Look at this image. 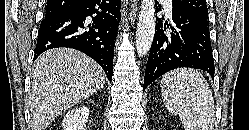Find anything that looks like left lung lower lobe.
I'll return each mask as SVG.
<instances>
[{
  "instance_id": "left-lung-lower-lobe-1",
  "label": "left lung lower lobe",
  "mask_w": 249,
  "mask_h": 130,
  "mask_svg": "<svg viewBox=\"0 0 249 130\" xmlns=\"http://www.w3.org/2000/svg\"><path fill=\"white\" fill-rule=\"evenodd\" d=\"M172 24L157 19L143 90L166 72L189 67L214 74L208 20L172 3ZM159 11V9H157ZM169 28V30H166Z\"/></svg>"
}]
</instances>
